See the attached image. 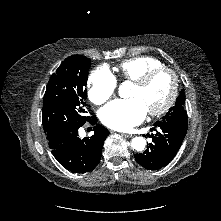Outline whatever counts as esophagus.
Segmentation results:
<instances>
[{
    "label": "esophagus",
    "mask_w": 221,
    "mask_h": 221,
    "mask_svg": "<svg viewBox=\"0 0 221 221\" xmlns=\"http://www.w3.org/2000/svg\"><path fill=\"white\" fill-rule=\"evenodd\" d=\"M122 135L125 136V137H127V138L133 137V135H131V134H122Z\"/></svg>",
    "instance_id": "34e87169"
}]
</instances>
